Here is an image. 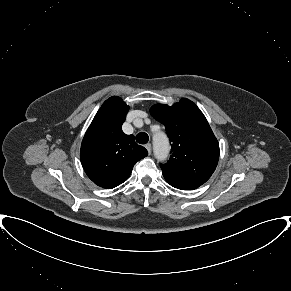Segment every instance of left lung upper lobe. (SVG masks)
<instances>
[{"instance_id":"obj_1","label":"left lung upper lobe","mask_w":291,"mask_h":291,"mask_svg":"<svg viewBox=\"0 0 291 291\" xmlns=\"http://www.w3.org/2000/svg\"><path fill=\"white\" fill-rule=\"evenodd\" d=\"M150 113L165 125L172 142L170 159L160 165L163 175L204 184L217 166L219 144L200 109L183 98L172 106L156 104Z\"/></svg>"}]
</instances>
